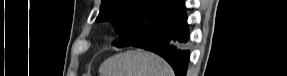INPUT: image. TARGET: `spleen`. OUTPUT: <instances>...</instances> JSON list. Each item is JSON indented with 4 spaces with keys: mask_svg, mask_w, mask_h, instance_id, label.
Returning <instances> with one entry per match:
<instances>
[{
    "mask_svg": "<svg viewBox=\"0 0 287 76\" xmlns=\"http://www.w3.org/2000/svg\"><path fill=\"white\" fill-rule=\"evenodd\" d=\"M100 73L101 76H174L164 59L143 50H129L108 58Z\"/></svg>",
    "mask_w": 287,
    "mask_h": 76,
    "instance_id": "1",
    "label": "spleen"
}]
</instances>
